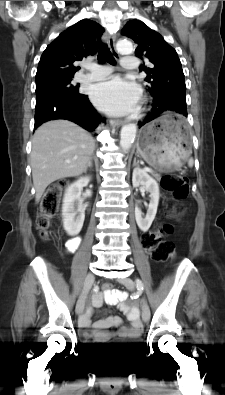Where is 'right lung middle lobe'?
Wrapping results in <instances>:
<instances>
[{"label":"right lung middle lobe","instance_id":"right-lung-middle-lobe-1","mask_svg":"<svg viewBox=\"0 0 225 395\" xmlns=\"http://www.w3.org/2000/svg\"><path fill=\"white\" fill-rule=\"evenodd\" d=\"M71 81L72 79H68L36 86V107H39L58 96L81 95L78 92L79 85H74Z\"/></svg>","mask_w":225,"mask_h":395}]
</instances>
